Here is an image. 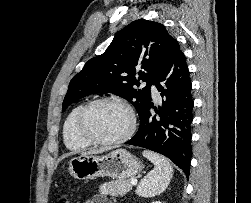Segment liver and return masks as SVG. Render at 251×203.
<instances>
[{
	"instance_id": "6515ba94",
	"label": "liver",
	"mask_w": 251,
	"mask_h": 203,
	"mask_svg": "<svg viewBox=\"0 0 251 203\" xmlns=\"http://www.w3.org/2000/svg\"><path fill=\"white\" fill-rule=\"evenodd\" d=\"M107 150H108L107 148H101V149H98V150H90V151H87V152H83L81 154V156L100 154V153H103V152H105Z\"/></svg>"
}]
</instances>
